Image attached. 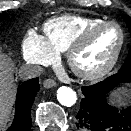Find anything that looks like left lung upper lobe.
Segmentation results:
<instances>
[{
	"label": "left lung upper lobe",
	"instance_id": "obj_1",
	"mask_svg": "<svg viewBox=\"0 0 131 131\" xmlns=\"http://www.w3.org/2000/svg\"><path fill=\"white\" fill-rule=\"evenodd\" d=\"M124 20L126 21V24L130 30V33H131V18L129 16H124ZM126 69H131V48L129 50V54L126 58L125 63L123 64V66L121 67V69L119 71H123Z\"/></svg>",
	"mask_w": 131,
	"mask_h": 131
}]
</instances>
